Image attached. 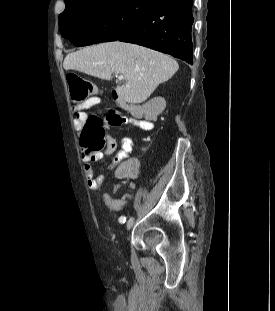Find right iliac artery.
I'll return each instance as SVG.
<instances>
[{"label": "right iliac artery", "mask_w": 275, "mask_h": 311, "mask_svg": "<svg viewBox=\"0 0 275 311\" xmlns=\"http://www.w3.org/2000/svg\"><path fill=\"white\" fill-rule=\"evenodd\" d=\"M125 221H126V217H125V216H121V217L119 218V222H120V223H125Z\"/></svg>", "instance_id": "82829eb1"}]
</instances>
